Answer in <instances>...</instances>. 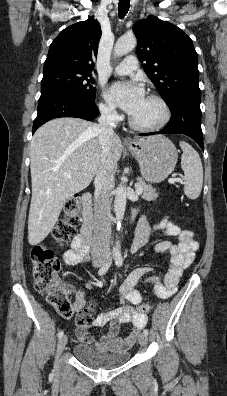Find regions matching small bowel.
<instances>
[{
    "mask_svg": "<svg viewBox=\"0 0 227 396\" xmlns=\"http://www.w3.org/2000/svg\"><path fill=\"white\" fill-rule=\"evenodd\" d=\"M158 232L165 236L175 237L177 243L165 240L155 245L157 252L169 254L170 267L163 278L152 276L149 278V282L153 284L159 296L170 297L176 292L184 270L193 262L199 245L192 231L181 229L176 223L167 218H163L157 224L155 230L151 228L146 218H142L136 228L131 247L132 251H140L148 244L151 237ZM88 259L89 248L84 244L80 236H76L71 243V248L63 255L64 263L68 266H74L85 263ZM150 270V266H141L134 269L119 287L118 299L122 304L128 302V305L101 313L95 318L94 305L89 304L85 307L84 290H71L75 296L73 308L78 312L76 316L77 327L75 329L76 339L84 343L92 342L93 336L89 332V326L92 324L97 327L107 326V331L100 337L99 341L111 351L118 352L134 344L137 333L147 323V315L140 313L138 309L134 308V306L140 305L143 300L141 293L136 289V285L139 279ZM124 323H131L134 330L129 335L120 337V326Z\"/></svg>",
    "mask_w": 227,
    "mask_h": 396,
    "instance_id": "obj_1",
    "label": "small bowel"
}]
</instances>
